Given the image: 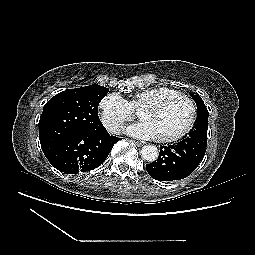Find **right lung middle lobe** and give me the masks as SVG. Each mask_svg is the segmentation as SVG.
I'll return each instance as SVG.
<instances>
[{
	"label": "right lung middle lobe",
	"instance_id": "dd1d6c3e",
	"mask_svg": "<svg viewBox=\"0 0 255 255\" xmlns=\"http://www.w3.org/2000/svg\"><path fill=\"white\" fill-rule=\"evenodd\" d=\"M109 89L98 84L67 89L44 105L39 121V138L45 155L75 132L104 131L98 105Z\"/></svg>",
	"mask_w": 255,
	"mask_h": 255
}]
</instances>
